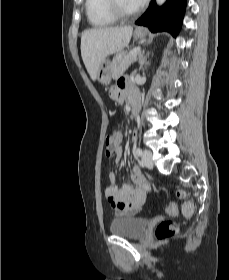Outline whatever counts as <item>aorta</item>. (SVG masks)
I'll use <instances>...</instances> for the list:
<instances>
[{
    "label": "aorta",
    "instance_id": "762f6f07",
    "mask_svg": "<svg viewBox=\"0 0 229 280\" xmlns=\"http://www.w3.org/2000/svg\"><path fill=\"white\" fill-rule=\"evenodd\" d=\"M158 5H162L166 0H156Z\"/></svg>",
    "mask_w": 229,
    "mask_h": 280
}]
</instances>
